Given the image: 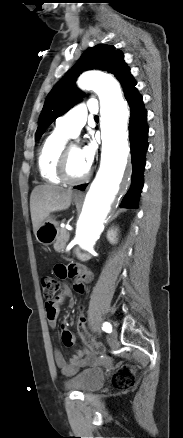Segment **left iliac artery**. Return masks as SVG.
<instances>
[{"instance_id": "44dca946", "label": "left iliac artery", "mask_w": 183, "mask_h": 438, "mask_svg": "<svg viewBox=\"0 0 183 438\" xmlns=\"http://www.w3.org/2000/svg\"><path fill=\"white\" fill-rule=\"evenodd\" d=\"M102 330L110 333V332H112V325L108 322H104L103 326H102Z\"/></svg>"}]
</instances>
